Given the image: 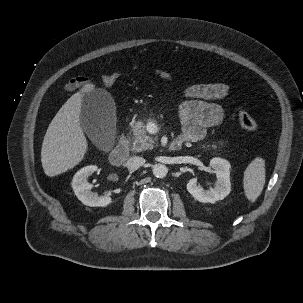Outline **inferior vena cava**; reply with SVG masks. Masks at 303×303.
Instances as JSON below:
<instances>
[{"label":"inferior vena cava","mask_w":303,"mask_h":303,"mask_svg":"<svg viewBox=\"0 0 303 303\" xmlns=\"http://www.w3.org/2000/svg\"><path fill=\"white\" fill-rule=\"evenodd\" d=\"M144 163H145V159H144V158L139 157V156H133V157H130V158L127 160L126 167H127L130 171H135V170H137L138 168H140L141 166H143Z\"/></svg>","instance_id":"1"}]
</instances>
